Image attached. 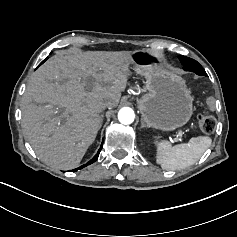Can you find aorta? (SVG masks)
I'll use <instances>...</instances> for the list:
<instances>
[{"instance_id":"762f6f07","label":"aorta","mask_w":237,"mask_h":237,"mask_svg":"<svg viewBox=\"0 0 237 237\" xmlns=\"http://www.w3.org/2000/svg\"><path fill=\"white\" fill-rule=\"evenodd\" d=\"M135 114L130 108H122L118 112V120L123 125H130L134 122Z\"/></svg>"}]
</instances>
